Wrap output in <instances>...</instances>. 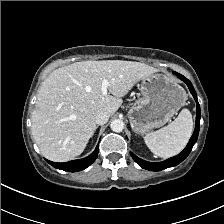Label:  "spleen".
Returning a JSON list of instances; mask_svg holds the SVG:
<instances>
[{"mask_svg": "<svg viewBox=\"0 0 224 224\" xmlns=\"http://www.w3.org/2000/svg\"><path fill=\"white\" fill-rule=\"evenodd\" d=\"M192 132V114L185 108L169 125L147 134L144 141L152 153L162 158H169L185 148Z\"/></svg>", "mask_w": 224, "mask_h": 224, "instance_id": "obj_1", "label": "spleen"}]
</instances>
